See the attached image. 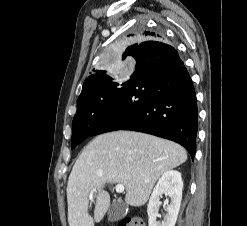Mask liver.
<instances>
[{
	"label": "liver",
	"instance_id": "liver-1",
	"mask_svg": "<svg viewBox=\"0 0 247 226\" xmlns=\"http://www.w3.org/2000/svg\"><path fill=\"white\" fill-rule=\"evenodd\" d=\"M187 160L183 147L152 135L114 131L94 138L79 155L67 184L69 226H94L110 207L108 183L124 185L125 201L142 206L159 177ZM95 197L94 217L88 213Z\"/></svg>",
	"mask_w": 247,
	"mask_h": 226
}]
</instances>
